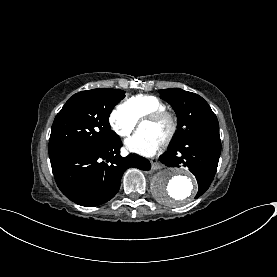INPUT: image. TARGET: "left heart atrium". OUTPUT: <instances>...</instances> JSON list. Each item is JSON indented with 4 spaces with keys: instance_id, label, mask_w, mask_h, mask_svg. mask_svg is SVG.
<instances>
[{
    "instance_id": "39dd6f15",
    "label": "left heart atrium",
    "mask_w": 277,
    "mask_h": 277,
    "mask_svg": "<svg viewBox=\"0 0 277 277\" xmlns=\"http://www.w3.org/2000/svg\"><path fill=\"white\" fill-rule=\"evenodd\" d=\"M125 146L139 154L151 155L161 147V141L148 132L139 130L125 142Z\"/></svg>"
}]
</instances>
